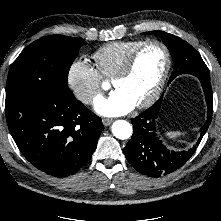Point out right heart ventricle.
<instances>
[{
	"label": "right heart ventricle",
	"mask_w": 221,
	"mask_h": 221,
	"mask_svg": "<svg viewBox=\"0 0 221 221\" xmlns=\"http://www.w3.org/2000/svg\"><path fill=\"white\" fill-rule=\"evenodd\" d=\"M144 42V40L115 41L101 46L93 54L100 74L106 78H113L131 52Z\"/></svg>",
	"instance_id": "1"
}]
</instances>
